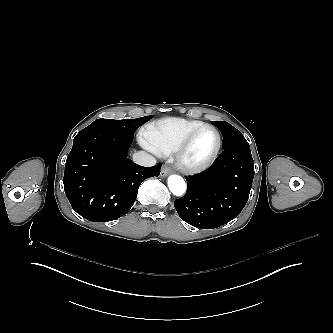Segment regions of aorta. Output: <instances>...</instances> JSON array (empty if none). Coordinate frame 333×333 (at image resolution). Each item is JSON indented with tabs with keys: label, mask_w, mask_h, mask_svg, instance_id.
<instances>
[{
	"label": "aorta",
	"mask_w": 333,
	"mask_h": 333,
	"mask_svg": "<svg viewBox=\"0 0 333 333\" xmlns=\"http://www.w3.org/2000/svg\"><path fill=\"white\" fill-rule=\"evenodd\" d=\"M168 188L176 197H182L187 191V185L184 179L177 175H172L168 179Z\"/></svg>",
	"instance_id": "obj_1"
}]
</instances>
